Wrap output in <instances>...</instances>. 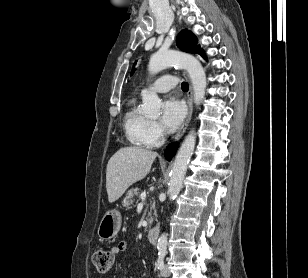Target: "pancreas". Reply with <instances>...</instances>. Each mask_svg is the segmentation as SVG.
Returning <instances> with one entry per match:
<instances>
[{"label":"pancreas","instance_id":"cf45deb5","mask_svg":"<svg viewBox=\"0 0 308 278\" xmlns=\"http://www.w3.org/2000/svg\"><path fill=\"white\" fill-rule=\"evenodd\" d=\"M138 195H139V189H138V188H132V189H130V190L126 193V196L124 197V199H123V201H122V205H123L124 207H128L129 205L132 204L133 198H134L135 196H138ZM152 209H155V204H153V205L151 206V210H152ZM148 220H149L150 222L153 221V218L151 217V215H149Z\"/></svg>","mask_w":308,"mask_h":278}]
</instances>
